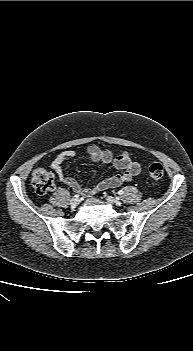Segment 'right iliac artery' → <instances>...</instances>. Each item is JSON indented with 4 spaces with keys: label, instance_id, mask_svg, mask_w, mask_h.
<instances>
[{
    "label": "right iliac artery",
    "instance_id": "obj_1",
    "mask_svg": "<svg viewBox=\"0 0 193 351\" xmlns=\"http://www.w3.org/2000/svg\"><path fill=\"white\" fill-rule=\"evenodd\" d=\"M74 198H77V199H78V198H79V195H78V194H75V195H74Z\"/></svg>",
    "mask_w": 193,
    "mask_h": 351
}]
</instances>
